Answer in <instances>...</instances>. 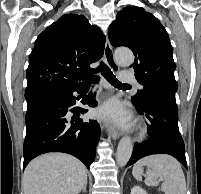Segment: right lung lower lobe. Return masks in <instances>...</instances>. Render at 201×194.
I'll return each mask as SVG.
<instances>
[{
	"label": "right lung lower lobe",
	"mask_w": 201,
	"mask_h": 194,
	"mask_svg": "<svg viewBox=\"0 0 201 194\" xmlns=\"http://www.w3.org/2000/svg\"><path fill=\"white\" fill-rule=\"evenodd\" d=\"M99 78H95L97 82ZM86 82L75 87L36 86L25 90L27 100L26 137L24 141V167L36 156L48 152H63L80 159L87 168L95 158L99 141L97 121H84L80 114L86 109L69 107L76 104L73 92L81 93ZM83 104L95 107V94L90 93Z\"/></svg>",
	"instance_id": "right-lung-lower-lobe-1"
}]
</instances>
